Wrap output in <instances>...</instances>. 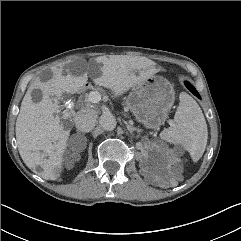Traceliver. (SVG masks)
I'll return each instance as SVG.
<instances>
[{
	"label": "liver",
	"mask_w": 241,
	"mask_h": 241,
	"mask_svg": "<svg viewBox=\"0 0 241 241\" xmlns=\"http://www.w3.org/2000/svg\"><path fill=\"white\" fill-rule=\"evenodd\" d=\"M94 65H98L101 72L99 77L93 79L94 83L111 89L114 96H120L157 72L153 62L143 57L99 56L86 68L90 69ZM63 71V67L54 68L51 80L41 82L37 78L30 85L16 120L15 132L20 156L30 169L46 180L56 179L54 168H61L62 154L70 132L54 116L60 108L54 96L76 93L88 80L87 72L76 76L67 68L66 75H63ZM34 90L42 93V99L37 103L32 100ZM37 167L42 168V171H37Z\"/></svg>",
	"instance_id": "6515ba94"
}]
</instances>
